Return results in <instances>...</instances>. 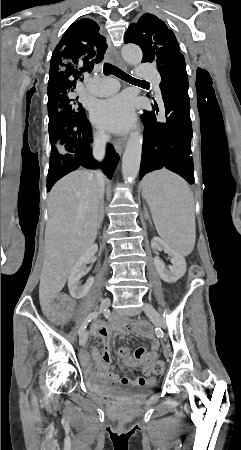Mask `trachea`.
Listing matches in <instances>:
<instances>
[{"instance_id":"1","label":"trachea","mask_w":241,"mask_h":450,"mask_svg":"<svg viewBox=\"0 0 241 450\" xmlns=\"http://www.w3.org/2000/svg\"><path fill=\"white\" fill-rule=\"evenodd\" d=\"M104 75H115L116 77L122 78V80L132 81V82H143L145 80H138L137 78L131 77L127 73L123 72L119 68L115 67L110 63H105L103 67Z\"/></svg>"}]
</instances>
